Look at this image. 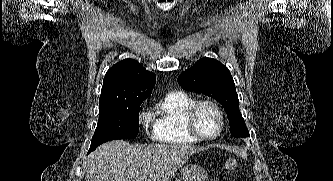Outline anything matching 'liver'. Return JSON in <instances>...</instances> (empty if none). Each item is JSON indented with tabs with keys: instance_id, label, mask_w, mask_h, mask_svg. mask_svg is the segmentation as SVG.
Segmentation results:
<instances>
[{
	"instance_id": "1",
	"label": "liver",
	"mask_w": 333,
	"mask_h": 181,
	"mask_svg": "<svg viewBox=\"0 0 333 181\" xmlns=\"http://www.w3.org/2000/svg\"><path fill=\"white\" fill-rule=\"evenodd\" d=\"M204 147L131 145L113 140L90 153L83 165L85 181H170L188 159Z\"/></svg>"
}]
</instances>
